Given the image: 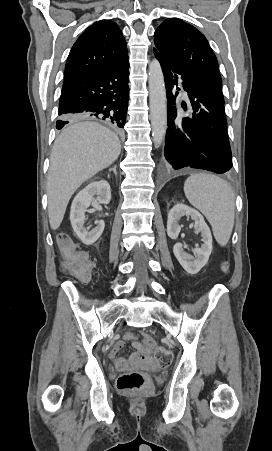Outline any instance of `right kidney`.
<instances>
[{"instance_id":"right-kidney-1","label":"right kidney","mask_w":272,"mask_h":451,"mask_svg":"<svg viewBox=\"0 0 272 451\" xmlns=\"http://www.w3.org/2000/svg\"><path fill=\"white\" fill-rule=\"evenodd\" d=\"M110 200L111 190L106 180L91 182V184H88V186H86L84 190H81L76 198H74L70 212L71 226L74 231H76L78 237H80L86 245L94 243V241L100 237L105 227V222H103V220H95L96 226L89 231V229L85 227L86 208H89L92 202H96L94 208H96V210H101L99 204H109Z\"/></svg>"}]
</instances>
